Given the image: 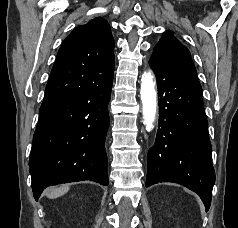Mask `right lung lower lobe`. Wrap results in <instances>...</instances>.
<instances>
[{
    "instance_id": "1",
    "label": "right lung lower lobe",
    "mask_w": 238,
    "mask_h": 228,
    "mask_svg": "<svg viewBox=\"0 0 238 228\" xmlns=\"http://www.w3.org/2000/svg\"><path fill=\"white\" fill-rule=\"evenodd\" d=\"M112 83L113 75L42 102L29 160L36 200L50 185L83 180L108 185L105 138Z\"/></svg>"
}]
</instances>
